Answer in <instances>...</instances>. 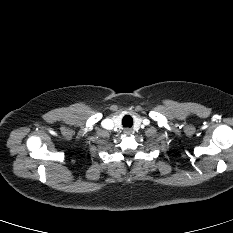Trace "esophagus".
Instances as JSON below:
<instances>
[{
	"instance_id": "34e87169",
	"label": "esophagus",
	"mask_w": 233,
	"mask_h": 233,
	"mask_svg": "<svg viewBox=\"0 0 233 233\" xmlns=\"http://www.w3.org/2000/svg\"><path fill=\"white\" fill-rule=\"evenodd\" d=\"M124 133H125L126 135H130V134L132 133V129L126 128V129H124Z\"/></svg>"
}]
</instances>
